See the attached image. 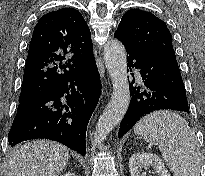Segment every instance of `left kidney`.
<instances>
[{"label":"left kidney","instance_id":"5707ae66","mask_svg":"<svg viewBox=\"0 0 205 176\" xmlns=\"http://www.w3.org/2000/svg\"><path fill=\"white\" fill-rule=\"evenodd\" d=\"M150 166L155 169L158 176H170L163 161L153 153H135L129 159L131 176H146L142 169H147Z\"/></svg>","mask_w":205,"mask_h":176}]
</instances>
